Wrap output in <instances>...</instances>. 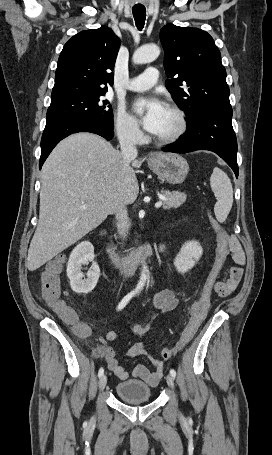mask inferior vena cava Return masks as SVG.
Masks as SVG:
<instances>
[{
    "mask_svg": "<svg viewBox=\"0 0 272 455\" xmlns=\"http://www.w3.org/2000/svg\"><path fill=\"white\" fill-rule=\"evenodd\" d=\"M119 142L121 148V154L123 158V167L124 169L129 167L130 162L136 158L137 149L135 146V140L133 136L129 133H121L119 135ZM116 217V226L119 234L125 237L128 234L129 224H128V213L125 205H121L115 212Z\"/></svg>",
    "mask_w": 272,
    "mask_h": 455,
    "instance_id": "602c4592",
    "label": "inferior vena cava"
}]
</instances>
